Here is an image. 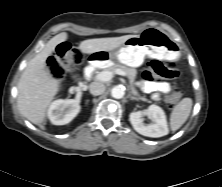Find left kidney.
Masks as SVG:
<instances>
[{
	"label": "left kidney",
	"mask_w": 222,
	"mask_h": 187,
	"mask_svg": "<svg viewBox=\"0 0 222 187\" xmlns=\"http://www.w3.org/2000/svg\"><path fill=\"white\" fill-rule=\"evenodd\" d=\"M149 116L154 121L153 124L145 125L143 116ZM130 122L139 134L148 137H162L169 133L166 115L163 109L157 105H150L145 111L130 113Z\"/></svg>",
	"instance_id": "obj_1"
}]
</instances>
